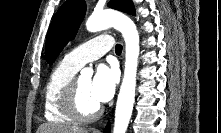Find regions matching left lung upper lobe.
Instances as JSON below:
<instances>
[{"label":"left lung upper lobe","mask_w":221,"mask_h":133,"mask_svg":"<svg viewBox=\"0 0 221 133\" xmlns=\"http://www.w3.org/2000/svg\"><path fill=\"white\" fill-rule=\"evenodd\" d=\"M108 6L135 15L132 0H112ZM85 10L86 3L84 0H67L59 8L47 35L45 58L49 64H53L66 44L74 38L84 18Z\"/></svg>","instance_id":"5c2ea615"}]
</instances>
